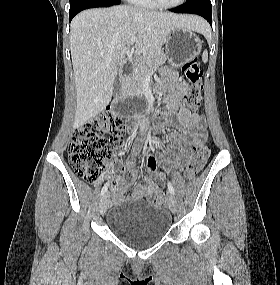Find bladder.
Segmentation results:
<instances>
[{
  "label": "bladder",
  "instance_id": "1",
  "mask_svg": "<svg viewBox=\"0 0 280 285\" xmlns=\"http://www.w3.org/2000/svg\"><path fill=\"white\" fill-rule=\"evenodd\" d=\"M171 221L165 208L140 199L120 201L106 215L111 232L133 245L159 240L169 230Z\"/></svg>",
  "mask_w": 280,
  "mask_h": 285
}]
</instances>
